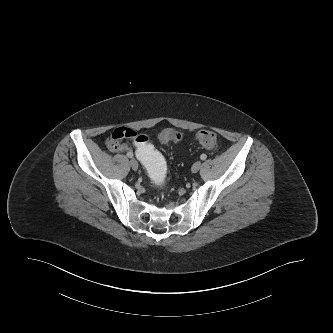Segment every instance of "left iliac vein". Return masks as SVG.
I'll list each match as a JSON object with an SVG mask.
<instances>
[{
	"mask_svg": "<svg viewBox=\"0 0 333 333\" xmlns=\"http://www.w3.org/2000/svg\"><path fill=\"white\" fill-rule=\"evenodd\" d=\"M200 168H201V162L197 161L193 164L191 170H192L193 173H196L200 170Z\"/></svg>",
	"mask_w": 333,
	"mask_h": 333,
	"instance_id": "1",
	"label": "left iliac vein"
}]
</instances>
